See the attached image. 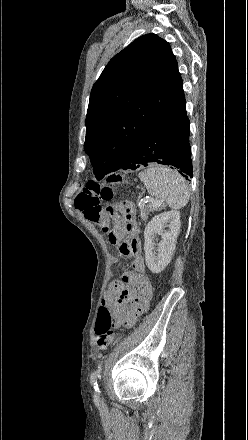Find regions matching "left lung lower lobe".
Here are the masks:
<instances>
[{
	"label": "left lung lower lobe",
	"mask_w": 248,
	"mask_h": 440,
	"mask_svg": "<svg viewBox=\"0 0 248 440\" xmlns=\"http://www.w3.org/2000/svg\"><path fill=\"white\" fill-rule=\"evenodd\" d=\"M189 124L185 97H183L134 142L117 170H133L142 165L148 166L150 162H156L174 166L180 173L187 174L186 178L192 177Z\"/></svg>",
	"instance_id": "left-lung-lower-lobe-1"
}]
</instances>
